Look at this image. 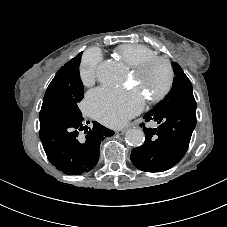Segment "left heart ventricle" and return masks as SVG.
<instances>
[{
    "label": "left heart ventricle",
    "instance_id": "obj_1",
    "mask_svg": "<svg viewBox=\"0 0 227 227\" xmlns=\"http://www.w3.org/2000/svg\"><path fill=\"white\" fill-rule=\"evenodd\" d=\"M166 78V70L161 64L153 65L139 78L133 75V80L136 81L138 88L144 91L147 97L158 93L165 85Z\"/></svg>",
    "mask_w": 227,
    "mask_h": 227
}]
</instances>
